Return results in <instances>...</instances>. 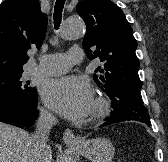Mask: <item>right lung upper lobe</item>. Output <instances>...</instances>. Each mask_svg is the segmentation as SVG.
I'll return each mask as SVG.
<instances>
[{"instance_id": "right-lung-upper-lobe-1", "label": "right lung upper lobe", "mask_w": 168, "mask_h": 162, "mask_svg": "<svg viewBox=\"0 0 168 162\" xmlns=\"http://www.w3.org/2000/svg\"><path fill=\"white\" fill-rule=\"evenodd\" d=\"M47 16L38 0H5L0 5V75L23 71L27 51L41 47Z\"/></svg>"}]
</instances>
